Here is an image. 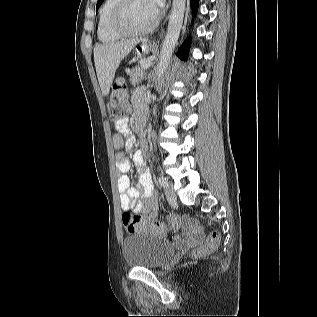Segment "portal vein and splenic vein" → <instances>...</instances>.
<instances>
[{"label":"portal vein and splenic vein","mask_w":317,"mask_h":317,"mask_svg":"<svg viewBox=\"0 0 317 317\" xmlns=\"http://www.w3.org/2000/svg\"><path fill=\"white\" fill-rule=\"evenodd\" d=\"M150 62H146V63H143L141 68L145 69V68H148L150 66Z\"/></svg>","instance_id":"18ae733b"}]
</instances>
